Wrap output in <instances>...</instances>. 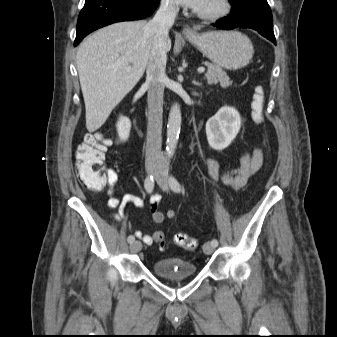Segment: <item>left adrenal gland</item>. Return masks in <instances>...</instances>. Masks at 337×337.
Here are the masks:
<instances>
[{
    "mask_svg": "<svg viewBox=\"0 0 337 337\" xmlns=\"http://www.w3.org/2000/svg\"><path fill=\"white\" fill-rule=\"evenodd\" d=\"M195 83V85H198V86H200L201 84H199V83H197V82H194Z\"/></svg>",
    "mask_w": 337,
    "mask_h": 337,
    "instance_id": "1",
    "label": "left adrenal gland"
}]
</instances>
